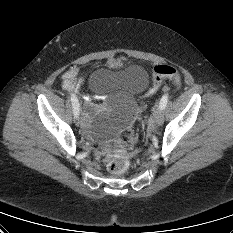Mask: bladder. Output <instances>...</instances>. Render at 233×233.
Returning <instances> with one entry per match:
<instances>
[{"label":"bladder","mask_w":233,"mask_h":233,"mask_svg":"<svg viewBox=\"0 0 233 233\" xmlns=\"http://www.w3.org/2000/svg\"><path fill=\"white\" fill-rule=\"evenodd\" d=\"M88 83L96 92L119 91L134 95L148 88L149 75L138 65H131L123 70L98 69L91 74ZM94 109L93 106L90 111ZM137 110V105L131 98H125L116 104L109 102L100 112L87 116L85 129L96 140L111 138L131 125Z\"/></svg>","instance_id":"1"}]
</instances>
